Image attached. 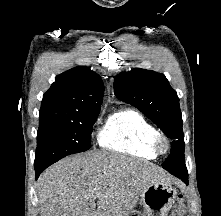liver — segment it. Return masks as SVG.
<instances>
[{
	"instance_id": "1",
	"label": "liver",
	"mask_w": 221,
	"mask_h": 216,
	"mask_svg": "<svg viewBox=\"0 0 221 216\" xmlns=\"http://www.w3.org/2000/svg\"><path fill=\"white\" fill-rule=\"evenodd\" d=\"M169 179L160 167L121 154L68 157L37 181L40 216H128L148 185Z\"/></svg>"
}]
</instances>
